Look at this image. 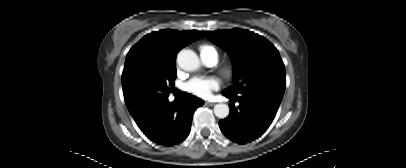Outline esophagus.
<instances>
[{
	"label": "esophagus",
	"mask_w": 406,
	"mask_h": 168,
	"mask_svg": "<svg viewBox=\"0 0 406 168\" xmlns=\"http://www.w3.org/2000/svg\"><path fill=\"white\" fill-rule=\"evenodd\" d=\"M205 104L208 105V106H214L215 105V103L209 102V101H206Z\"/></svg>",
	"instance_id": "1"
}]
</instances>
